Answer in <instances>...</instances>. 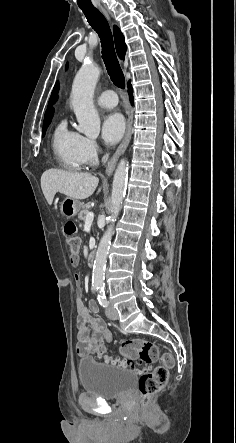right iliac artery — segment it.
Listing matches in <instances>:
<instances>
[{"mask_svg":"<svg viewBox=\"0 0 236 443\" xmlns=\"http://www.w3.org/2000/svg\"><path fill=\"white\" fill-rule=\"evenodd\" d=\"M99 288H100V287H98V286H92V291H93V292H96L97 290H99Z\"/></svg>","mask_w":236,"mask_h":443,"instance_id":"obj_1","label":"right iliac artery"}]
</instances>
